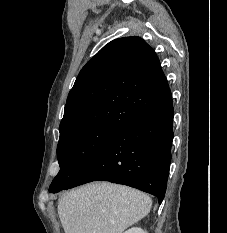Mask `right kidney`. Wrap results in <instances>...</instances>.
Returning <instances> with one entry per match:
<instances>
[{"label":"right kidney","mask_w":227,"mask_h":233,"mask_svg":"<svg viewBox=\"0 0 227 233\" xmlns=\"http://www.w3.org/2000/svg\"><path fill=\"white\" fill-rule=\"evenodd\" d=\"M124 233H147V232L142 230L141 228L133 227V228L125 231Z\"/></svg>","instance_id":"ca27d5eb"}]
</instances>
